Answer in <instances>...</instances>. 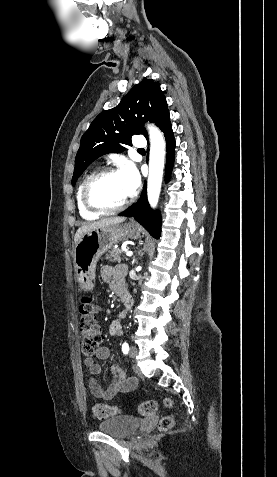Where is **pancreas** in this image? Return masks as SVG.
Here are the masks:
<instances>
[{"label":"pancreas","mask_w":277,"mask_h":477,"mask_svg":"<svg viewBox=\"0 0 277 477\" xmlns=\"http://www.w3.org/2000/svg\"><path fill=\"white\" fill-rule=\"evenodd\" d=\"M121 253H122V251L120 249L113 248L106 254V259L111 261V262H120L121 261Z\"/></svg>","instance_id":"cf45deb5"}]
</instances>
